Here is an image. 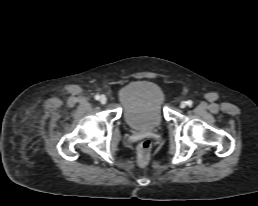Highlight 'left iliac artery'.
Masks as SVG:
<instances>
[{
	"instance_id": "44dca946",
	"label": "left iliac artery",
	"mask_w": 258,
	"mask_h": 206,
	"mask_svg": "<svg viewBox=\"0 0 258 206\" xmlns=\"http://www.w3.org/2000/svg\"><path fill=\"white\" fill-rule=\"evenodd\" d=\"M188 106H192L193 102L191 100L186 102Z\"/></svg>"
}]
</instances>
